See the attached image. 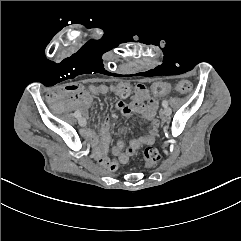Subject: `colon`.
Here are the masks:
<instances>
[{"mask_svg":"<svg viewBox=\"0 0 241 241\" xmlns=\"http://www.w3.org/2000/svg\"><path fill=\"white\" fill-rule=\"evenodd\" d=\"M127 79H118L116 84L110 86V91L115 93L118 98H123L125 93L129 90ZM194 88L193 83L187 81H180L176 86V91L180 93L191 92ZM166 90V85L163 82L152 83L150 85V91L153 94H162ZM143 157L148 162L144 165L146 170L151 169L155 166L156 162L160 160V153L153 146H147L143 150Z\"/></svg>","mask_w":241,"mask_h":241,"instance_id":"5ec220e1","label":"colon"}]
</instances>
